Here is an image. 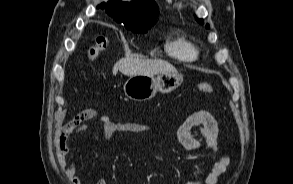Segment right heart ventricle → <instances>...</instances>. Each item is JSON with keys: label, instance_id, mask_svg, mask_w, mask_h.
I'll use <instances>...</instances> for the list:
<instances>
[{"label": "right heart ventricle", "instance_id": "obj_1", "mask_svg": "<svg viewBox=\"0 0 293 184\" xmlns=\"http://www.w3.org/2000/svg\"><path fill=\"white\" fill-rule=\"evenodd\" d=\"M169 56L186 62L195 61L199 56L198 47L186 36L178 35L166 45Z\"/></svg>", "mask_w": 293, "mask_h": 184}]
</instances>
